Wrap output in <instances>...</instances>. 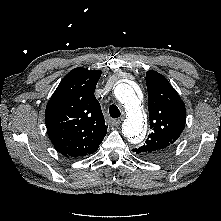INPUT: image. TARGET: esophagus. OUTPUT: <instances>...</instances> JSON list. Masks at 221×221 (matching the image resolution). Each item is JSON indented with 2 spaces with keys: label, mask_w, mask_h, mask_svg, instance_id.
<instances>
[{
  "label": "esophagus",
  "mask_w": 221,
  "mask_h": 221,
  "mask_svg": "<svg viewBox=\"0 0 221 221\" xmlns=\"http://www.w3.org/2000/svg\"><path fill=\"white\" fill-rule=\"evenodd\" d=\"M123 119L122 118H118L112 121V125L113 126H118L122 123Z\"/></svg>",
  "instance_id": "34e87169"
}]
</instances>
